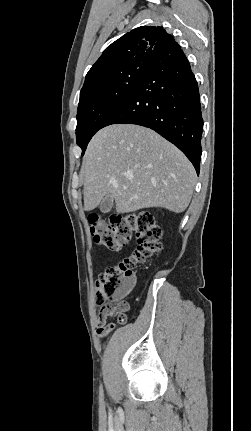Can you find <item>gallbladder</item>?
Returning a JSON list of instances; mask_svg holds the SVG:
<instances>
[{
    "label": "gallbladder",
    "mask_w": 251,
    "mask_h": 431,
    "mask_svg": "<svg viewBox=\"0 0 251 431\" xmlns=\"http://www.w3.org/2000/svg\"><path fill=\"white\" fill-rule=\"evenodd\" d=\"M113 207V199L110 196H106L100 203V210L102 213H108Z\"/></svg>",
    "instance_id": "bac80fb5"
}]
</instances>
